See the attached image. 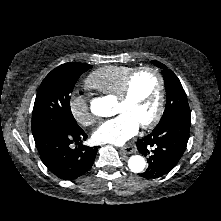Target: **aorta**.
I'll list each match as a JSON object with an SVG mask.
<instances>
[{"label": "aorta", "mask_w": 221, "mask_h": 221, "mask_svg": "<svg viewBox=\"0 0 221 221\" xmlns=\"http://www.w3.org/2000/svg\"><path fill=\"white\" fill-rule=\"evenodd\" d=\"M91 112L95 116L106 117L111 114V107L103 98L96 99L91 104ZM128 166L132 172L140 173L144 170L146 161L142 156L134 155L128 160Z\"/></svg>", "instance_id": "aorta-1"}]
</instances>
